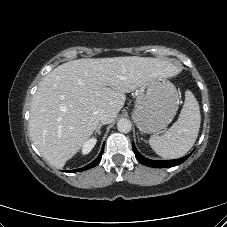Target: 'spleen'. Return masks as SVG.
<instances>
[{
    "label": "spleen",
    "mask_w": 227,
    "mask_h": 227,
    "mask_svg": "<svg viewBox=\"0 0 227 227\" xmlns=\"http://www.w3.org/2000/svg\"><path fill=\"white\" fill-rule=\"evenodd\" d=\"M200 121L198 101L188 90L178 120L162 135L150 137L149 144L165 159L180 158L194 145L199 133Z\"/></svg>",
    "instance_id": "obj_1"
}]
</instances>
